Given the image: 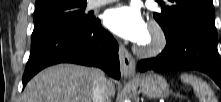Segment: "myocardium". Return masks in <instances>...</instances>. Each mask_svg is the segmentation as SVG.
Listing matches in <instances>:
<instances>
[{
  "label": "myocardium",
  "mask_w": 221,
  "mask_h": 102,
  "mask_svg": "<svg viewBox=\"0 0 221 102\" xmlns=\"http://www.w3.org/2000/svg\"><path fill=\"white\" fill-rule=\"evenodd\" d=\"M148 40L141 42L137 52L143 56H154L160 53L166 46V35L161 26L152 22L148 29Z\"/></svg>",
  "instance_id": "f54148a6"
}]
</instances>
